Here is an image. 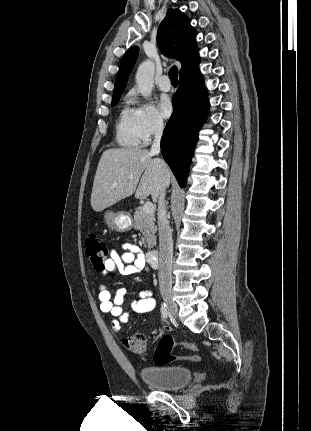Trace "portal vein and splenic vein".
Listing matches in <instances>:
<instances>
[{"instance_id": "18ae733b", "label": "portal vein and splenic vein", "mask_w": 311, "mask_h": 431, "mask_svg": "<svg viewBox=\"0 0 311 431\" xmlns=\"http://www.w3.org/2000/svg\"><path fill=\"white\" fill-rule=\"evenodd\" d=\"M115 184H116V182H115ZM143 212H145V214H153L154 206H153L152 202H146V204H144Z\"/></svg>"}]
</instances>
